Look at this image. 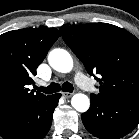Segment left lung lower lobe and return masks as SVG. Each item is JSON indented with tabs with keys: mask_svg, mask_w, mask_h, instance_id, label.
Wrapping results in <instances>:
<instances>
[{
	"mask_svg": "<svg viewBox=\"0 0 139 139\" xmlns=\"http://www.w3.org/2000/svg\"><path fill=\"white\" fill-rule=\"evenodd\" d=\"M91 106L82 114L85 128L101 139H118L139 123V94L103 101L91 94Z\"/></svg>",
	"mask_w": 139,
	"mask_h": 139,
	"instance_id": "obj_1",
	"label": "left lung lower lobe"
}]
</instances>
